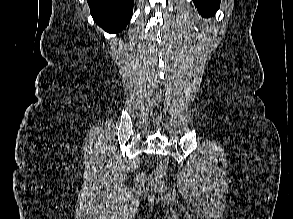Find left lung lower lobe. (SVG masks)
I'll list each match as a JSON object with an SVG mask.
<instances>
[{
	"label": "left lung lower lobe",
	"mask_w": 293,
	"mask_h": 219,
	"mask_svg": "<svg viewBox=\"0 0 293 219\" xmlns=\"http://www.w3.org/2000/svg\"><path fill=\"white\" fill-rule=\"evenodd\" d=\"M221 0H193L200 14L203 17H210L219 9Z\"/></svg>",
	"instance_id": "0a47b994"
}]
</instances>
